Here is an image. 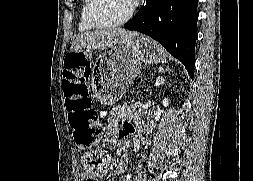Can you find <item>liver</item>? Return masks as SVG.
Instances as JSON below:
<instances>
[{
    "label": "liver",
    "mask_w": 253,
    "mask_h": 181,
    "mask_svg": "<svg viewBox=\"0 0 253 181\" xmlns=\"http://www.w3.org/2000/svg\"><path fill=\"white\" fill-rule=\"evenodd\" d=\"M139 35L138 32L129 31L122 28L97 29L79 34L73 40L71 51L79 49H105L117 43H125L133 40Z\"/></svg>",
    "instance_id": "obj_1"
}]
</instances>
